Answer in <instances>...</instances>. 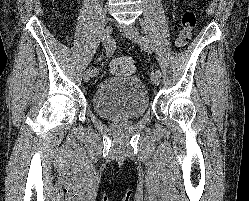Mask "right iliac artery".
Wrapping results in <instances>:
<instances>
[{
  "mask_svg": "<svg viewBox=\"0 0 249 201\" xmlns=\"http://www.w3.org/2000/svg\"><path fill=\"white\" fill-rule=\"evenodd\" d=\"M104 40V39H103ZM104 48L106 50L107 55H109L112 52V44L110 40L107 38L103 41ZM98 75V70L97 69H92L91 70V76L95 77Z\"/></svg>",
  "mask_w": 249,
  "mask_h": 201,
  "instance_id": "1",
  "label": "right iliac artery"
}]
</instances>
